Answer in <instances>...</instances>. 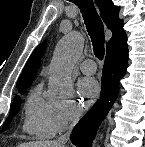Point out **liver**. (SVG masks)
<instances>
[{
	"label": "liver",
	"instance_id": "liver-1",
	"mask_svg": "<svg viewBox=\"0 0 145 147\" xmlns=\"http://www.w3.org/2000/svg\"><path fill=\"white\" fill-rule=\"evenodd\" d=\"M18 147H63L57 143L55 140L51 141H36V142H26L18 145Z\"/></svg>",
	"mask_w": 145,
	"mask_h": 147
}]
</instances>
